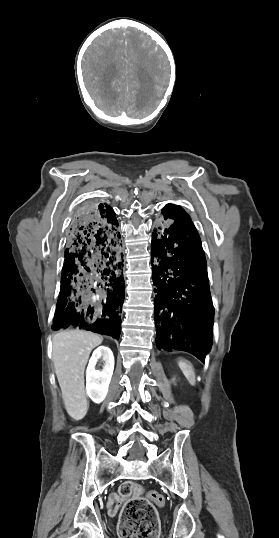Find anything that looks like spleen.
Instances as JSON below:
<instances>
[{"mask_svg":"<svg viewBox=\"0 0 279 538\" xmlns=\"http://www.w3.org/2000/svg\"><path fill=\"white\" fill-rule=\"evenodd\" d=\"M178 366L188 382H190V384H195V374L192 364H188V362H179Z\"/></svg>","mask_w":279,"mask_h":538,"instance_id":"1","label":"spleen"}]
</instances>
